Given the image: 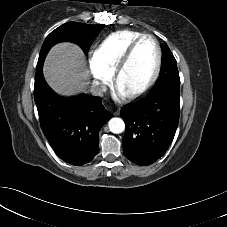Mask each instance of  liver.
<instances>
[{"instance_id": "6515ba94", "label": "liver", "mask_w": 227, "mask_h": 227, "mask_svg": "<svg viewBox=\"0 0 227 227\" xmlns=\"http://www.w3.org/2000/svg\"><path fill=\"white\" fill-rule=\"evenodd\" d=\"M49 86L61 95L85 90L88 70L83 51L73 43H59L51 48L43 66Z\"/></svg>"}]
</instances>
